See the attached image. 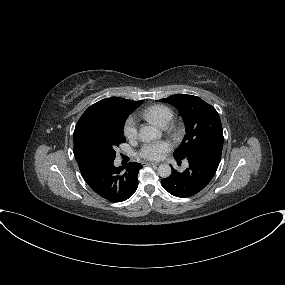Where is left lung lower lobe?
I'll return each instance as SVG.
<instances>
[{"instance_id": "1", "label": "left lung lower lobe", "mask_w": 285, "mask_h": 285, "mask_svg": "<svg viewBox=\"0 0 285 285\" xmlns=\"http://www.w3.org/2000/svg\"><path fill=\"white\" fill-rule=\"evenodd\" d=\"M221 153V147H210L193 152L185 158L188 160L189 167L182 173L173 169L169 177L161 180L162 187L176 197L187 198L197 194L215 175Z\"/></svg>"}]
</instances>
